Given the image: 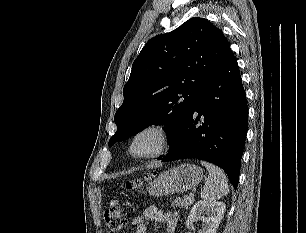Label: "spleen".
<instances>
[{
  "label": "spleen",
  "instance_id": "1",
  "mask_svg": "<svg viewBox=\"0 0 306 233\" xmlns=\"http://www.w3.org/2000/svg\"><path fill=\"white\" fill-rule=\"evenodd\" d=\"M209 172V176L205 182V186L201 191V198L208 202H213L229 192L228 181L226 175L217 166L206 161L200 162Z\"/></svg>",
  "mask_w": 306,
  "mask_h": 233
}]
</instances>
